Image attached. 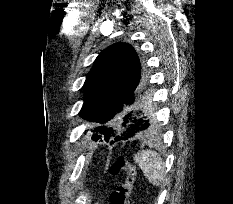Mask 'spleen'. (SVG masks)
<instances>
[{
	"mask_svg": "<svg viewBox=\"0 0 233 204\" xmlns=\"http://www.w3.org/2000/svg\"><path fill=\"white\" fill-rule=\"evenodd\" d=\"M134 160L152 185L159 186L164 181L166 167L156 151L142 150L134 156Z\"/></svg>",
	"mask_w": 233,
	"mask_h": 204,
	"instance_id": "3e777b00",
	"label": "spleen"
}]
</instances>
